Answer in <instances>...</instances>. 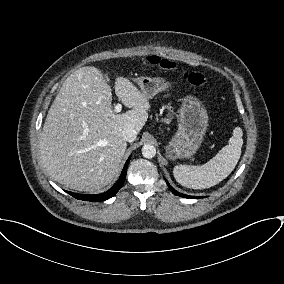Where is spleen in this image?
<instances>
[{
	"label": "spleen",
	"mask_w": 284,
	"mask_h": 284,
	"mask_svg": "<svg viewBox=\"0 0 284 284\" xmlns=\"http://www.w3.org/2000/svg\"><path fill=\"white\" fill-rule=\"evenodd\" d=\"M242 129L236 127L228 145L224 146L211 160L201 166L178 165L173 169L176 181L193 189L212 187L225 179L235 168L243 145Z\"/></svg>",
	"instance_id": "3e777b00"
}]
</instances>
